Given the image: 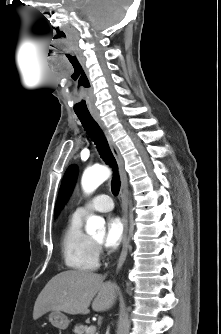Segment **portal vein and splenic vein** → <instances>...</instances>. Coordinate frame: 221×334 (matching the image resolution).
<instances>
[{"label": "portal vein and splenic vein", "mask_w": 221, "mask_h": 334, "mask_svg": "<svg viewBox=\"0 0 221 334\" xmlns=\"http://www.w3.org/2000/svg\"><path fill=\"white\" fill-rule=\"evenodd\" d=\"M95 331H96V327L94 325H91L87 330V332L91 334L95 333Z\"/></svg>", "instance_id": "portal-vein-and-splenic-vein-1"}]
</instances>
